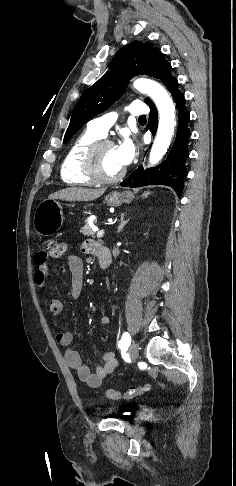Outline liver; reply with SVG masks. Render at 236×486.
I'll list each match as a JSON object with an SVG mask.
<instances>
[{
    "mask_svg": "<svg viewBox=\"0 0 236 486\" xmlns=\"http://www.w3.org/2000/svg\"><path fill=\"white\" fill-rule=\"evenodd\" d=\"M105 189H87L82 187H70L54 192L49 199H61L67 201H93L103 195Z\"/></svg>",
    "mask_w": 236,
    "mask_h": 486,
    "instance_id": "obj_1",
    "label": "liver"
}]
</instances>
